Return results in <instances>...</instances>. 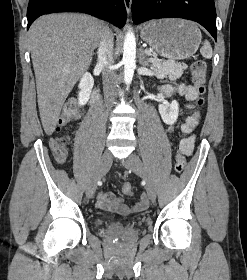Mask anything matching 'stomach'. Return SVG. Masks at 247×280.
I'll return each instance as SVG.
<instances>
[{
    "label": "stomach",
    "instance_id": "obj_1",
    "mask_svg": "<svg viewBox=\"0 0 247 280\" xmlns=\"http://www.w3.org/2000/svg\"><path fill=\"white\" fill-rule=\"evenodd\" d=\"M140 34L152 49L169 60L191 57L198 50L202 39L194 22L176 18L149 21Z\"/></svg>",
    "mask_w": 247,
    "mask_h": 280
}]
</instances>
